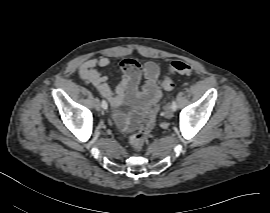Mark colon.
Instances as JSON below:
<instances>
[{
	"mask_svg": "<svg viewBox=\"0 0 270 213\" xmlns=\"http://www.w3.org/2000/svg\"><path fill=\"white\" fill-rule=\"evenodd\" d=\"M169 69L171 73L185 75H190L192 72V66L183 60L172 61L169 65ZM161 83L165 90H172L174 88V83L169 76H163ZM158 110V105H154L146 123L130 134L129 144L134 150H140L144 146L146 137L155 127Z\"/></svg>",
	"mask_w": 270,
	"mask_h": 213,
	"instance_id": "colon-1",
	"label": "colon"
}]
</instances>
